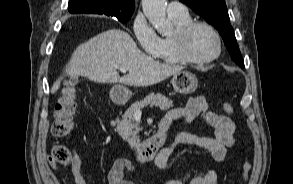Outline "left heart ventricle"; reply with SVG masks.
I'll return each mask as SVG.
<instances>
[{
  "label": "left heart ventricle",
  "instance_id": "obj_1",
  "mask_svg": "<svg viewBox=\"0 0 293 184\" xmlns=\"http://www.w3.org/2000/svg\"><path fill=\"white\" fill-rule=\"evenodd\" d=\"M216 49V40L205 27H197L188 38L187 51L194 58H207L213 55Z\"/></svg>",
  "mask_w": 293,
  "mask_h": 184
}]
</instances>
